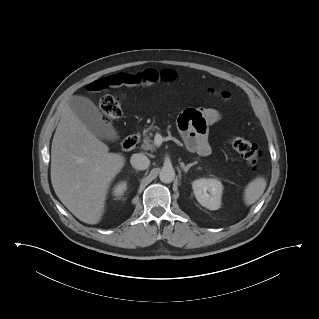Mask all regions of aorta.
<instances>
[{
    "instance_id": "aorta-1",
    "label": "aorta",
    "mask_w": 319,
    "mask_h": 319,
    "mask_svg": "<svg viewBox=\"0 0 319 319\" xmlns=\"http://www.w3.org/2000/svg\"><path fill=\"white\" fill-rule=\"evenodd\" d=\"M159 178L163 183H171L175 178V171L171 166H164L160 170Z\"/></svg>"
}]
</instances>
